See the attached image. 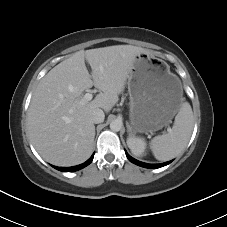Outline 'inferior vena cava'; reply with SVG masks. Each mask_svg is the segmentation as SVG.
<instances>
[{
    "label": "inferior vena cava",
    "instance_id": "602c4592",
    "mask_svg": "<svg viewBox=\"0 0 227 227\" xmlns=\"http://www.w3.org/2000/svg\"><path fill=\"white\" fill-rule=\"evenodd\" d=\"M104 118H105V115L101 109L97 108L93 110L91 115V120L93 123L95 124L102 123L104 121Z\"/></svg>",
    "mask_w": 227,
    "mask_h": 227
}]
</instances>
